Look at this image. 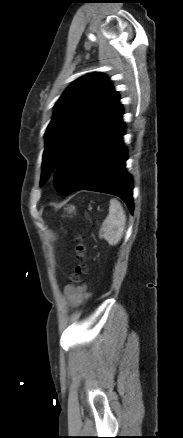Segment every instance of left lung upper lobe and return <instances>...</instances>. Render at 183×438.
<instances>
[{
	"instance_id": "obj_1",
	"label": "left lung upper lobe",
	"mask_w": 183,
	"mask_h": 438,
	"mask_svg": "<svg viewBox=\"0 0 183 438\" xmlns=\"http://www.w3.org/2000/svg\"><path fill=\"white\" fill-rule=\"evenodd\" d=\"M121 107L111 81L101 73L85 75L68 87L45 133L41 185L76 145Z\"/></svg>"
}]
</instances>
